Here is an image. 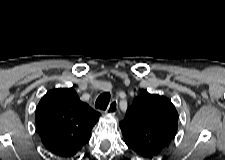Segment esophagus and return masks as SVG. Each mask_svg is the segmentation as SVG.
Wrapping results in <instances>:
<instances>
[{"label": "esophagus", "instance_id": "34e87169", "mask_svg": "<svg viewBox=\"0 0 225 160\" xmlns=\"http://www.w3.org/2000/svg\"><path fill=\"white\" fill-rule=\"evenodd\" d=\"M117 110H118V102L116 99H113L107 108V113L115 114Z\"/></svg>", "mask_w": 225, "mask_h": 160}]
</instances>
